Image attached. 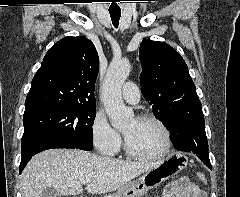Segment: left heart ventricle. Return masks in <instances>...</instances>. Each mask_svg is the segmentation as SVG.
I'll list each match as a JSON object with an SVG mask.
<instances>
[{
  "instance_id": "1",
  "label": "left heart ventricle",
  "mask_w": 240,
  "mask_h": 197,
  "mask_svg": "<svg viewBox=\"0 0 240 197\" xmlns=\"http://www.w3.org/2000/svg\"><path fill=\"white\" fill-rule=\"evenodd\" d=\"M131 148L143 155L159 153L165 145L162 129L152 121L131 120L123 129Z\"/></svg>"
}]
</instances>
